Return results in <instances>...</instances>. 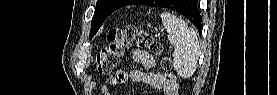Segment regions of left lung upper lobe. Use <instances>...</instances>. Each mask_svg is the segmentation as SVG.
Returning a JSON list of instances; mask_svg holds the SVG:
<instances>
[{
    "instance_id": "obj_1",
    "label": "left lung upper lobe",
    "mask_w": 277,
    "mask_h": 95,
    "mask_svg": "<svg viewBox=\"0 0 277 95\" xmlns=\"http://www.w3.org/2000/svg\"><path fill=\"white\" fill-rule=\"evenodd\" d=\"M132 0H97L94 16L91 22L90 38H92L98 29L102 26L105 19L115 10L126 6ZM162 0H153L151 7H159ZM183 0H180L181 2Z\"/></svg>"
}]
</instances>
